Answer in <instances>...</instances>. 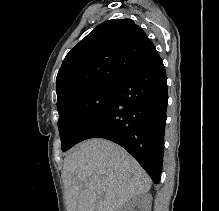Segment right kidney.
I'll return each mask as SVG.
<instances>
[{
  "label": "right kidney",
  "mask_w": 219,
  "mask_h": 211,
  "mask_svg": "<svg viewBox=\"0 0 219 211\" xmlns=\"http://www.w3.org/2000/svg\"><path fill=\"white\" fill-rule=\"evenodd\" d=\"M140 203H142L143 211H151L152 197L151 195H147V193L141 199H136V197L130 199L129 203L124 205L122 211H136L135 207L136 205H140Z\"/></svg>",
  "instance_id": "ca27d5eb"
}]
</instances>
